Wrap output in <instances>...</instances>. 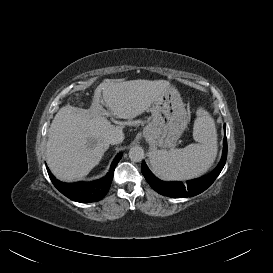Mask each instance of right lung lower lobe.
Returning a JSON list of instances; mask_svg holds the SVG:
<instances>
[{"label":"right lung lower lobe","mask_w":273,"mask_h":273,"mask_svg":"<svg viewBox=\"0 0 273 273\" xmlns=\"http://www.w3.org/2000/svg\"><path fill=\"white\" fill-rule=\"evenodd\" d=\"M121 157L122 153L116 156L109 173L104 178L93 182L63 183L52 175L47 166L46 168L52 183L63 195L76 202H96L107 194L112 182L114 169Z\"/></svg>","instance_id":"obj_1"}]
</instances>
